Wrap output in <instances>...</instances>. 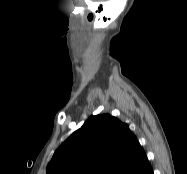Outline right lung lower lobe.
Wrapping results in <instances>:
<instances>
[{"label":"right lung lower lobe","instance_id":"right-lung-lower-lobe-1","mask_svg":"<svg viewBox=\"0 0 187 174\" xmlns=\"http://www.w3.org/2000/svg\"><path fill=\"white\" fill-rule=\"evenodd\" d=\"M148 174H153V172H150V173H148Z\"/></svg>","mask_w":187,"mask_h":174}]
</instances>
